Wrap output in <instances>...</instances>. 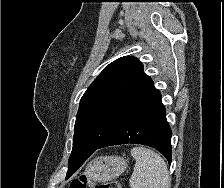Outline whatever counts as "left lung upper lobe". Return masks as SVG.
<instances>
[{
	"label": "left lung upper lobe",
	"mask_w": 224,
	"mask_h": 188,
	"mask_svg": "<svg viewBox=\"0 0 224 188\" xmlns=\"http://www.w3.org/2000/svg\"><path fill=\"white\" fill-rule=\"evenodd\" d=\"M152 87V79L133 56L107 65L81 98L68 168L95 152L125 111Z\"/></svg>",
	"instance_id": "obj_1"
}]
</instances>
